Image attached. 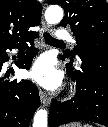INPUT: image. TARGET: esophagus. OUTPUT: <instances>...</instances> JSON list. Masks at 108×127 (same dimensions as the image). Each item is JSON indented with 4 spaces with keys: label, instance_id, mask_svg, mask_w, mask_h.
<instances>
[{
    "label": "esophagus",
    "instance_id": "34e87169",
    "mask_svg": "<svg viewBox=\"0 0 108 127\" xmlns=\"http://www.w3.org/2000/svg\"><path fill=\"white\" fill-rule=\"evenodd\" d=\"M49 30L50 29H49V26L47 25V23L44 20H42L41 31H40L41 36H43V34L45 32H48ZM39 95H40V100L44 106H48L51 103V99L47 95V93L40 90Z\"/></svg>",
    "mask_w": 108,
    "mask_h": 127
}]
</instances>
